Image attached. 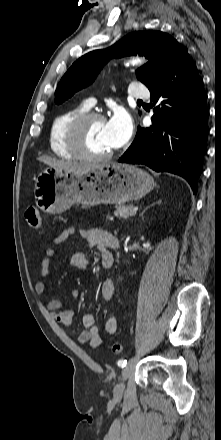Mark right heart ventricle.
<instances>
[{
    "instance_id": "1",
    "label": "right heart ventricle",
    "mask_w": 221,
    "mask_h": 440,
    "mask_svg": "<svg viewBox=\"0 0 221 440\" xmlns=\"http://www.w3.org/2000/svg\"><path fill=\"white\" fill-rule=\"evenodd\" d=\"M89 108L90 105L83 102L63 111L54 118L49 131V145L55 155L64 159L77 158L68 146L67 129L77 116L89 111Z\"/></svg>"
}]
</instances>
